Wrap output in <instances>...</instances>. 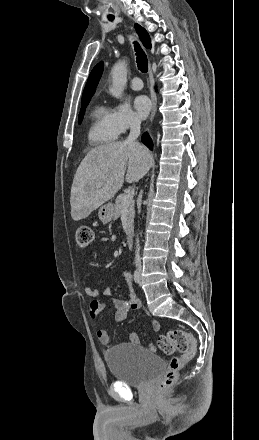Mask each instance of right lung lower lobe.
Wrapping results in <instances>:
<instances>
[{"mask_svg":"<svg viewBox=\"0 0 259 440\" xmlns=\"http://www.w3.org/2000/svg\"><path fill=\"white\" fill-rule=\"evenodd\" d=\"M141 140L150 150H152V148H153L152 140L147 133H144L142 135Z\"/></svg>","mask_w":259,"mask_h":440,"instance_id":"obj_1","label":"right lung lower lobe"}]
</instances>
